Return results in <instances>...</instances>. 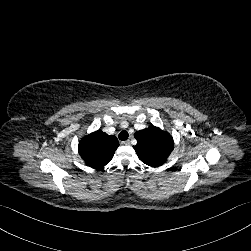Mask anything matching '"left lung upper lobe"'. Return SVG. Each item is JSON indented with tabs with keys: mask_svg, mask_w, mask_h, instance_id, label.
Masks as SVG:
<instances>
[{
	"mask_svg": "<svg viewBox=\"0 0 251 251\" xmlns=\"http://www.w3.org/2000/svg\"><path fill=\"white\" fill-rule=\"evenodd\" d=\"M134 137L137 144L133 148L138 158L150 167H159L166 163L174 148L171 135L155 126L137 131Z\"/></svg>",
	"mask_w": 251,
	"mask_h": 251,
	"instance_id": "1",
	"label": "left lung upper lobe"
}]
</instances>
